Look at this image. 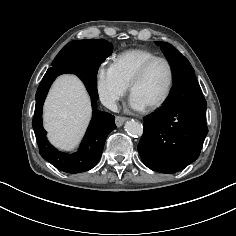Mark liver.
Wrapping results in <instances>:
<instances>
[{
  "instance_id": "1",
  "label": "liver",
  "mask_w": 236,
  "mask_h": 236,
  "mask_svg": "<svg viewBox=\"0 0 236 236\" xmlns=\"http://www.w3.org/2000/svg\"><path fill=\"white\" fill-rule=\"evenodd\" d=\"M90 117V99L83 83L73 75L57 78L44 104L43 120L50 141L62 150H72Z\"/></svg>"
}]
</instances>
